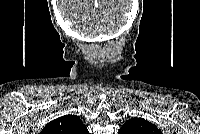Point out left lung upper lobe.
Masks as SVG:
<instances>
[{"instance_id": "1", "label": "left lung upper lobe", "mask_w": 200, "mask_h": 134, "mask_svg": "<svg viewBox=\"0 0 200 134\" xmlns=\"http://www.w3.org/2000/svg\"><path fill=\"white\" fill-rule=\"evenodd\" d=\"M119 134H161L158 128L141 118H131L121 127Z\"/></svg>"}]
</instances>
